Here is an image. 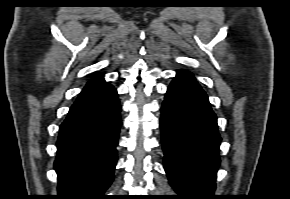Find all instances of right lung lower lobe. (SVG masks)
Returning <instances> with one entry per match:
<instances>
[{
  "instance_id": "1",
  "label": "right lung lower lobe",
  "mask_w": 290,
  "mask_h": 199,
  "mask_svg": "<svg viewBox=\"0 0 290 199\" xmlns=\"http://www.w3.org/2000/svg\"><path fill=\"white\" fill-rule=\"evenodd\" d=\"M121 106L108 82L84 88L61 124L56 199H104L113 180Z\"/></svg>"
}]
</instances>
